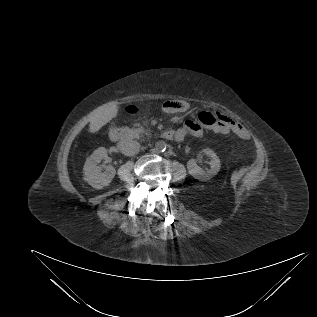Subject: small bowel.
<instances>
[{
  "mask_svg": "<svg viewBox=\"0 0 317 317\" xmlns=\"http://www.w3.org/2000/svg\"><path fill=\"white\" fill-rule=\"evenodd\" d=\"M190 106L187 102L181 100H168L164 102L163 109L167 113H182L189 110ZM220 120L219 123L213 126V130L219 133L235 132L239 136L245 138L247 133L243 126L236 120L232 119L225 113H218ZM203 134V127L192 120H187L184 125L175 133V140L180 142L187 135L200 137Z\"/></svg>",
  "mask_w": 317,
  "mask_h": 317,
  "instance_id": "1",
  "label": "small bowel"
}]
</instances>
